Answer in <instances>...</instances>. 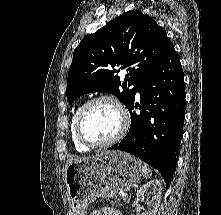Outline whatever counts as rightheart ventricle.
Wrapping results in <instances>:
<instances>
[{"label":"right heart ventricle","mask_w":221,"mask_h":215,"mask_svg":"<svg viewBox=\"0 0 221 215\" xmlns=\"http://www.w3.org/2000/svg\"><path fill=\"white\" fill-rule=\"evenodd\" d=\"M78 109H79V107L75 109V111L73 112V114L71 116L70 136H71L72 143L78 152H87L90 150V147H87V146L83 145L82 143H80L76 137V134H75V117H76Z\"/></svg>","instance_id":"e07e8e85"}]
</instances>
